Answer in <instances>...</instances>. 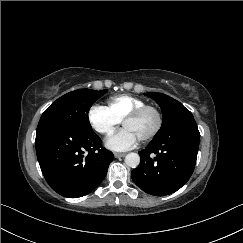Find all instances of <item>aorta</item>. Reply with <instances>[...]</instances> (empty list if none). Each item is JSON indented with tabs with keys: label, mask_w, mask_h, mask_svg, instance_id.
<instances>
[{
	"label": "aorta",
	"mask_w": 243,
	"mask_h": 243,
	"mask_svg": "<svg viewBox=\"0 0 243 243\" xmlns=\"http://www.w3.org/2000/svg\"><path fill=\"white\" fill-rule=\"evenodd\" d=\"M125 164L131 168L138 167L140 164V156L134 152L128 153L125 156Z\"/></svg>",
	"instance_id": "762f6f07"
}]
</instances>
